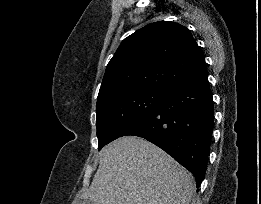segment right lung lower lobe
I'll list each match as a JSON object with an SVG mask.
<instances>
[{
	"label": "right lung lower lobe",
	"mask_w": 261,
	"mask_h": 204,
	"mask_svg": "<svg viewBox=\"0 0 261 204\" xmlns=\"http://www.w3.org/2000/svg\"><path fill=\"white\" fill-rule=\"evenodd\" d=\"M214 106L206 65L172 85L146 115L120 137L134 135L154 143L196 178L205 176L212 138Z\"/></svg>",
	"instance_id": "1"
}]
</instances>
